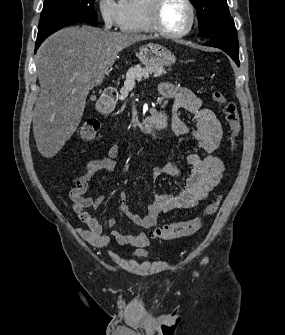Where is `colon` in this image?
Wrapping results in <instances>:
<instances>
[{
	"label": "colon",
	"mask_w": 285,
	"mask_h": 335,
	"mask_svg": "<svg viewBox=\"0 0 285 335\" xmlns=\"http://www.w3.org/2000/svg\"><path fill=\"white\" fill-rule=\"evenodd\" d=\"M212 99L222 107L225 119L230 128L232 147L235 148L236 140L241 130L237 106L232 101H229L226 95L220 91H213ZM99 129V121L96 119H89L79 127L78 137L84 142H93L97 137ZM219 206L220 197H217L198 217L187 221L165 224L155 229L152 235L156 238L165 240L192 235L203 226L206 218L218 211Z\"/></svg>",
	"instance_id": "1"
}]
</instances>
